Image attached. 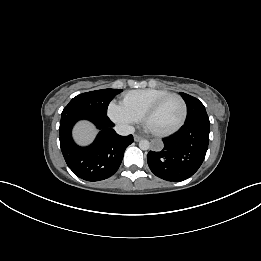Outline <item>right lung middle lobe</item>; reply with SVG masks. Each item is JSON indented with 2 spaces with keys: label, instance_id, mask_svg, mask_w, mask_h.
<instances>
[{
  "label": "right lung middle lobe",
  "instance_id": "obj_1",
  "mask_svg": "<svg viewBox=\"0 0 261 261\" xmlns=\"http://www.w3.org/2000/svg\"><path fill=\"white\" fill-rule=\"evenodd\" d=\"M121 91L122 89H102L86 92L74 97L64 109H76L106 115L110 101Z\"/></svg>",
  "mask_w": 261,
  "mask_h": 261
}]
</instances>
